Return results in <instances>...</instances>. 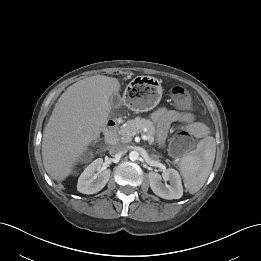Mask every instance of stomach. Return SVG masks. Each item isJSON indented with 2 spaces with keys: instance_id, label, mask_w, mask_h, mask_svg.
<instances>
[{
  "instance_id": "0dacf381",
  "label": "stomach",
  "mask_w": 261,
  "mask_h": 261,
  "mask_svg": "<svg viewBox=\"0 0 261 261\" xmlns=\"http://www.w3.org/2000/svg\"><path fill=\"white\" fill-rule=\"evenodd\" d=\"M162 92V86L156 78H135L125 90L124 104L137 113L147 112L158 105Z\"/></svg>"
}]
</instances>
